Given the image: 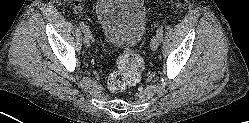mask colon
Listing matches in <instances>:
<instances>
[{"instance_id":"obj_1","label":"colon","mask_w":249,"mask_h":123,"mask_svg":"<svg viewBox=\"0 0 249 123\" xmlns=\"http://www.w3.org/2000/svg\"><path fill=\"white\" fill-rule=\"evenodd\" d=\"M142 58L127 49L117 60V69L108 77V88L112 92H120L129 85L139 82L143 71Z\"/></svg>"}]
</instances>
